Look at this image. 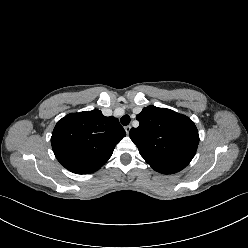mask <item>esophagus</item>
<instances>
[{
	"instance_id": "1",
	"label": "esophagus",
	"mask_w": 248,
	"mask_h": 248,
	"mask_svg": "<svg viewBox=\"0 0 248 248\" xmlns=\"http://www.w3.org/2000/svg\"><path fill=\"white\" fill-rule=\"evenodd\" d=\"M124 129H125L126 133L129 134V131H130V129H131V126H130V125L125 126Z\"/></svg>"
}]
</instances>
